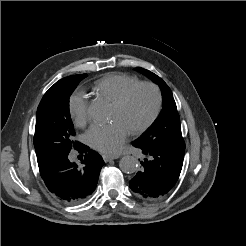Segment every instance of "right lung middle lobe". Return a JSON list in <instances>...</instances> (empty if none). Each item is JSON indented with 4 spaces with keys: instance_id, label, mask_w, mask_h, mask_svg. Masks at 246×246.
I'll return each instance as SVG.
<instances>
[{
    "instance_id": "obj_1",
    "label": "right lung middle lobe",
    "mask_w": 246,
    "mask_h": 246,
    "mask_svg": "<svg viewBox=\"0 0 246 246\" xmlns=\"http://www.w3.org/2000/svg\"><path fill=\"white\" fill-rule=\"evenodd\" d=\"M87 74L62 78L43 96L36 116L34 147L38 163L77 149L75 131L69 111V98Z\"/></svg>"
}]
</instances>
